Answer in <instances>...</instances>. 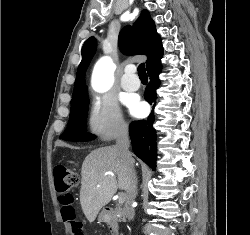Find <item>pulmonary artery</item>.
<instances>
[{
  "label": "pulmonary artery",
  "mask_w": 250,
  "mask_h": 235,
  "mask_svg": "<svg viewBox=\"0 0 250 235\" xmlns=\"http://www.w3.org/2000/svg\"><path fill=\"white\" fill-rule=\"evenodd\" d=\"M121 86L128 92L136 91L140 87V80L133 73V67L128 66L121 80Z\"/></svg>",
  "instance_id": "1"
}]
</instances>
